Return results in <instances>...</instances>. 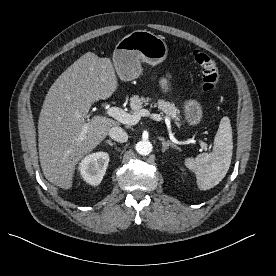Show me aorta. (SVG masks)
Returning a JSON list of instances; mask_svg holds the SVG:
<instances>
[{
  "label": "aorta",
  "mask_w": 276,
  "mask_h": 276,
  "mask_svg": "<svg viewBox=\"0 0 276 276\" xmlns=\"http://www.w3.org/2000/svg\"><path fill=\"white\" fill-rule=\"evenodd\" d=\"M136 151L143 156H146L152 151V144L147 140L139 141L136 144Z\"/></svg>",
  "instance_id": "1"
}]
</instances>
